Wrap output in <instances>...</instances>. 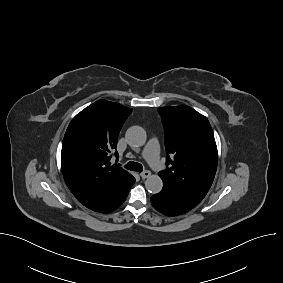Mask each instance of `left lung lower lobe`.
Returning a JSON list of instances; mask_svg holds the SVG:
<instances>
[{
    "label": "left lung lower lobe",
    "mask_w": 283,
    "mask_h": 283,
    "mask_svg": "<svg viewBox=\"0 0 283 283\" xmlns=\"http://www.w3.org/2000/svg\"><path fill=\"white\" fill-rule=\"evenodd\" d=\"M152 206L167 216L187 213L195 206L188 203L176 190L163 184L162 191L151 197Z\"/></svg>",
    "instance_id": "obj_1"
}]
</instances>
